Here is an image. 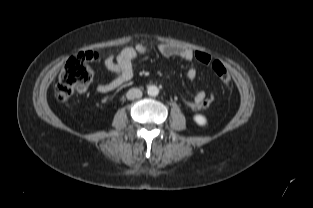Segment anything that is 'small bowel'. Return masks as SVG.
<instances>
[{"label":"small bowel","instance_id":"obj_1","mask_svg":"<svg viewBox=\"0 0 313 208\" xmlns=\"http://www.w3.org/2000/svg\"><path fill=\"white\" fill-rule=\"evenodd\" d=\"M157 49L164 57H179L188 62L195 60V52L187 48L175 46L169 43H162L158 45ZM148 51L149 47L147 45L138 43L135 46L125 47L116 56L113 54L104 55L102 57L104 66L108 71L114 74V78L110 82L98 84L97 91L102 94L109 93L127 83L133 76L134 60L139 55L145 54ZM97 58L98 55L94 53L93 60H96ZM196 76L197 70L195 67L191 66L187 71V78L192 81L196 78ZM206 97L207 96L204 91H199L191 102L198 105L206 99ZM188 106L192 108L190 104H188Z\"/></svg>","mask_w":313,"mask_h":208}]
</instances>
